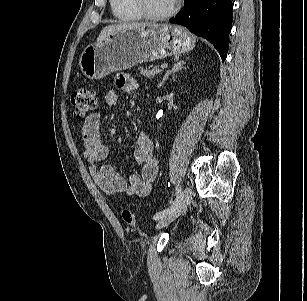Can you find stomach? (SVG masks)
<instances>
[{
	"instance_id": "obj_1",
	"label": "stomach",
	"mask_w": 307,
	"mask_h": 301,
	"mask_svg": "<svg viewBox=\"0 0 307 301\" xmlns=\"http://www.w3.org/2000/svg\"><path fill=\"white\" fill-rule=\"evenodd\" d=\"M195 42L193 35L176 25L152 24L138 29H123L86 47L79 67L88 79H101L138 63L189 52Z\"/></svg>"
}]
</instances>
